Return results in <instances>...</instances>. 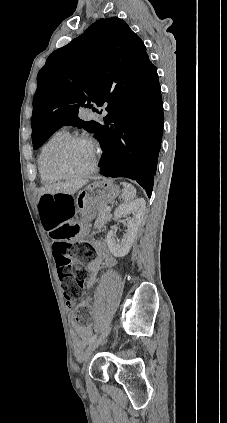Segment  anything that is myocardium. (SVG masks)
Instances as JSON below:
<instances>
[{"instance_id": "myocardium-1", "label": "myocardium", "mask_w": 227, "mask_h": 423, "mask_svg": "<svg viewBox=\"0 0 227 423\" xmlns=\"http://www.w3.org/2000/svg\"><path fill=\"white\" fill-rule=\"evenodd\" d=\"M74 143H84L91 146L95 151V158L92 165L81 173H72L65 168V166L61 162V155L64 150L74 144ZM99 155L95 147L93 146L92 142H90L86 137L82 135H68L62 140H60L57 144L53 146L47 156V163L49 168L58 176L68 180H80L83 178L88 177L89 175L93 174L98 166Z\"/></svg>"}]
</instances>
